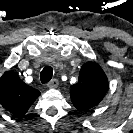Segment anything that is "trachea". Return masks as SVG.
<instances>
[{
    "mask_svg": "<svg viewBox=\"0 0 133 133\" xmlns=\"http://www.w3.org/2000/svg\"><path fill=\"white\" fill-rule=\"evenodd\" d=\"M53 69L49 66L45 67L40 73V79L43 84L49 82L52 78Z\"/></svg>",
    "mask_w": 133,
    "mask_h": 133,
    "instance_id": "1",
    "label": "trachea"
}]
</instances>
